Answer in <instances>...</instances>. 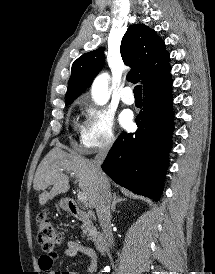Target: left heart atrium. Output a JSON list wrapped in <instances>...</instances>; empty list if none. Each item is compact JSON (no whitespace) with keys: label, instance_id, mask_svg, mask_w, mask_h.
I'll return each mask as SVG.
<instances>
[{"label":"left heart atrium","instance_id":"1","mask_svg":"<svg viewBox=\"0 0 215 274\" xmlns=\"http://www.w3.org/2000/svg\"><path fill=\"white\" fill-rule=\"evenodd\" d=\"M120 124L123 127H128L130 126L131 122H132V115L130 112L128 111H124L121 115H120Z\"/></svg>","mask_w":215,"mask_h":274}]
</instances>
